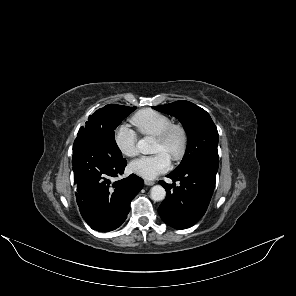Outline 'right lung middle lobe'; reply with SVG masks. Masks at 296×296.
I'll return each instance as SVG.
<instances>
[{
  "mask_svg": "<svg viewBox=\"0 0 296 296\" xmlns=\"http://www.w3.org/2000/svg\"><path fill=\"white\" fill-rule=\"evenodd\" d=\"M136 107L109 104L89 116L85 127H81L78 139H90L108 149L115 158H122L114 130Z\"/></svg>",
  "mask_w": 296,
  "mask_h": 296,
  "instance_id": "dd1d6c3e",
  "label": "right lung middle lobe"
}]
</instances>
